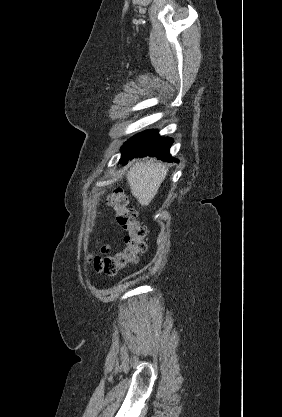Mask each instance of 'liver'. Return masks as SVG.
Masks as SVG:
<instances>
[{"instance_id": "6515ba94", "label": "liver", "mask_w": 282, "mask_h": 417, "mask_svg": "<svg viewBox=\"0 0 282 417\" xmlns=\"http://www.w3.org/2000/svg\"><path fill=\"white\" fill-rule=\"evenodd\" d=\"M167 172L168 168L163 162H135L128 170L127 182L142 206H147L153 200Z\"/></svg>"}]
</instances>
